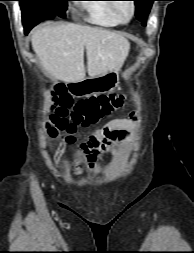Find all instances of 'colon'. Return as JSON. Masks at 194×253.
Returning a JSON list of instances; mask_svg holds the SVG:
<instances>
[{"label": "colon", "instance_id": "5ec220e1", "mask_svg": "<svg viewBox=\"0 0 194 253\" xmlns=\"http://www.w3.org/2000/svg\"><path fill=\"white\" fill-rule=\"evenodd\" d=\"M57 109L51 118L53 135L65 133L67 142L75 140L79 127L95 124L101 118L111 114L124 103V95L119 93L101 94L81 99L73 104L65 88H58Z\"/></svg>", "mask_w": 194, "mask_h": 253}]
</instances>
